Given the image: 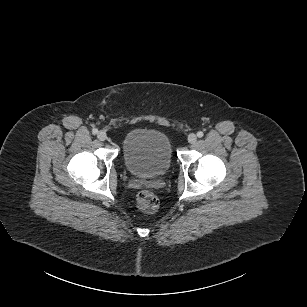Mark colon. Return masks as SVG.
Wrapping results in <instances>:
<instances>
[{
  "instance_id": "obj_1",
  "label": "colon",
  "mask_w": 307,
  "mask_h": 307,
  "mask_svg": "<svg viewBox=\"0 0 307 307\" xmlns=\"http://www.w3.org/2000/svg\"><path fill=\"white\" fill-rule=\"evenodd\" d=\"M136 205L139 211L143 213H152L157 210L159 200L153 192L143 190L137 194Z\"/></svg>"
}]
</instances>
